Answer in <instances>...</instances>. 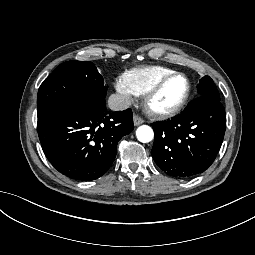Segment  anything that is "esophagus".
Instances as JSON below:
<instances>
[{"mask_svg": "<svg viewBox=\"0 0 255 255\" xmlns=\"http://www.w3.org/2000/svg\"><path fill=\"white\" fill-rule=\"evenodd\" d=\"M133 121L135 126H138L144 122V120L137 114H134Z\"/></svg>", "mask_w": 255, "mask_h": 255, "instance_id": "esophagus-1", "label": "esophagus"}]
</instances>
